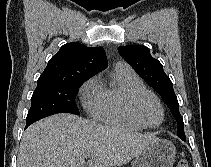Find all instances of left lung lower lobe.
<instances>
[{"label":"left lung lower lobe","mask_w":211,"mask_h":167,"mask_svg":"<svg viewBox=\"0 0 211 167\" xmlns=\"http://www.w3.org/2000/svg\"><path fill=\"white\" fill-rule=\"evenodd\" d=\"M181 139L185 141V138H181Z\"/></svg>","instance_id":"obj_1"}]
</instances>
